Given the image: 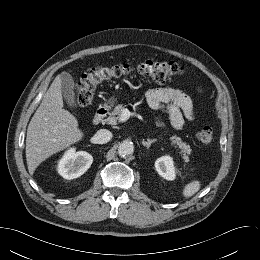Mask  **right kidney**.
Wrapping results in <instances>:
<instances>
[{"mask_svg":"<svg viewBox=\"0 0 260 260\" xmlns=\"http://www.w3.org/2000/svg\"><path fill=\"white\" fill-rule=\"evenodd\" d=\"M93 157L85 151L71 148L65 152L57 165L58 173L65 179L71 180L83 175L91 166Z\"/></svg>","mask_w":260,"mask_h":260,"instance_id":"right-kidney-1","label":"right kidney"}]
</instances>
